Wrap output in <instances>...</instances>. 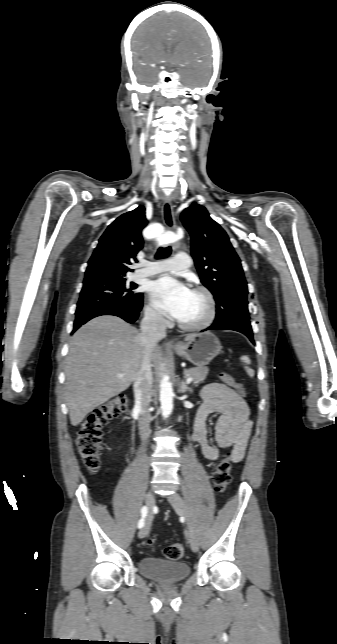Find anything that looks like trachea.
I'll return each mask as SVG.
<instances>
[{"label": "trachea", "mask_w": 337, "mask_h": 644, "mask_svg": "<svg viewBox=\"0 0 337 644\" xmlns=\"http://www.w3.org/2000/svg\"><path fill=\"white\" fill-rule=\"evenodd\" d=\"M171 251H172V249H171V247H170V246H169V247H166V248H160V249H158V251H157L156 258H163V257H167V256H169V255H170Z\"/></svg>", "instance_id": "trachea-1"}]
</instances>
